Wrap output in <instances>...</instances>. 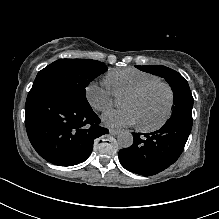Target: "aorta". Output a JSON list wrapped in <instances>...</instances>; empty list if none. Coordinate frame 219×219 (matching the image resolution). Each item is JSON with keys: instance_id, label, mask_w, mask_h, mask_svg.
Instances as JSON below:
<instances>
[{"instance_id": "aorta-1", "label": "aorta", "mask_w": 219, "mask_h": 219, "mask_svg": "<svg viewBox=\"0 0 219 219\" xmlns=\"http://www.w3.org/2000/svg\"><path fill=\"white\" fill-rule=\"evenodd\" d=\"M117 143L121 148H128L133 144V136L128 131L121 132L117 137Z\"/></svg>"}]
</instances>
